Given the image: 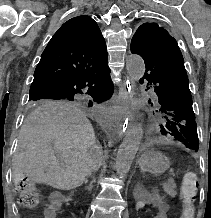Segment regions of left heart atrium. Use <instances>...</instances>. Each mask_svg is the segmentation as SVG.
<instances>
[{"label": "left heart atrium", "mask_w": 211, "mask_h": 218, "mask_svg": "<svg viewBox=\"0 0 211 218\" xmlns=\"http://www.w3.org/2000/svg\"><path fill=\"white\" fill-rule=\"evenodd\" d=\"M114 112L111 110L104 109L100 112V117L102 119H109L113 116Z\"/></svg>", "instance_id": "39dd6f15"}]
</instances>
